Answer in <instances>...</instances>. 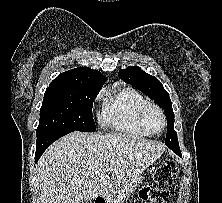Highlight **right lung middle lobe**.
<instances>
[{"label": "right lung middle lobe", "instance_id": "1", "mask_svg": "<svg viewBox=\"0 0 222 203\" xmlns=\"http://www.w3.org/2000/svg\"><path fill=\"white\" fill-rule=\"evenodd\" d=\"M99 90L47 89L36 135L55 131L95 132L93 101Z\"/></svg>", "mask_w": 222, "mask_h": 203}]
</instances>
